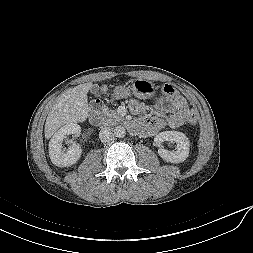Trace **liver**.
<instances>
[{
  "label": "liver",
  "instance_id": "6515ba94",
  "mask_svg": "<svg viewBox=\"0 0 253 253\" xmlns=\"http://www.w3.org/2000/svg\"><path fill=\"white\" fill-rule=\"evenodd\" d=\"M92 83H84L62 93L53 104L46 122L45 137L49 139L63 125L84 122L88 117L87 93Z\"/></svg>",
  "mask_w": 253,
  "mask_h": 253
}]
</instances>
